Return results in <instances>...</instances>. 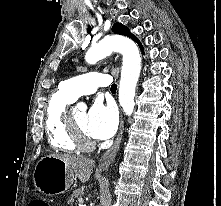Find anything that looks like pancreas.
Masks as SVG:
<instances>
[{
  "label": "pancreas",
  "instance_id": "obj_1",
  "mask_svg": "<svg viewBox=\"0 0 221 206\" xmlns=\"http://www.w3.org/2000/svg\"><path fill=\"white\" fill-rule=\"evenodd\" d=\"M83 196V191L81 189L75 190L69 198V202L73 203L75 200L79 201Z\"/></svg>",
  "mask_w": 221,
  "mask_h": 206
}]
</instances>
